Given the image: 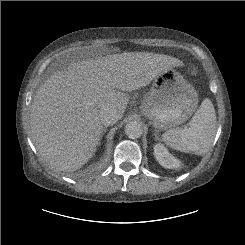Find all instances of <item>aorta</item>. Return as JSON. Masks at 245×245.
<instances>
[{
  "label": "aorta",
  "instance_id": "aorta-1",
  "mask_svg": "<svg viewBox=\"0 0 245 245\" xmlns=\"http://www.w3.org/2000/svg\"><path fill=\"white\" fill-rule=\"evenodd\" d=\"M126 135L131 139H136L141 137L143 134V127L141 123L137 121L129 122L125 127Z\"/></svg>",
  "mask_w": 245,
  "mask_h": 245
}]
</instances>
